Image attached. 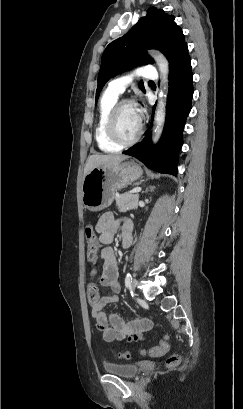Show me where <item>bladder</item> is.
<instances>
[{"label":"bladder","instance_id":"31cf9c89","mask_svg":"<svg viewBox=\"0 0 243 409\" xmlns=\"http://www.w3.org/2000/svg\"><path fill=\"white\" fill-rule=\"evenodd\" d=\"M105 372L108 374L116 375L123 378H134L140 371V366L137 363L134 364H118L105 362L103 364Z\"/></svg>","mask_w":243,"mask_h":409}]
</instances>
